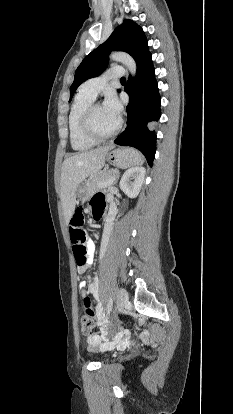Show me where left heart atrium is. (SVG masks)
<instances>
[{"mask_svg": "<svg viewBox=\"0 0 233 414\" xmlns=\"http://www.w3.org/2000/svg\"><path fill=\"white\" fill-rule=\"evenodd\" d=\"M104 110L113 118L119 119L121 113V105L116 96L110 94L103 103Z\"/></svg>", "mask_w": 233, "mask_h": 414, "instance_id": "39dd6f15", "label": "left heart atrium"}]
</instances>
